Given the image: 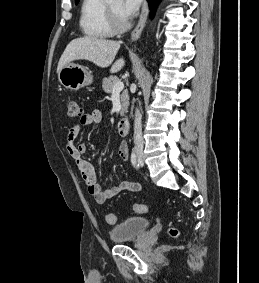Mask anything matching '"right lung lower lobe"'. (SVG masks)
<instances>
[{"instance_id":"1","label":"right lung lower lobe","mask_w":259,"mask_h":283,"mask_svg":"<svg viewBox=\"0 0 259 283\" xmlns=\"http://www.w3.org/2000/svg\"><path fill=\"white\" fill-rule=\"evenodd\" d=\"M150 8H152L157 2L158 0H148ZM154 12V8L152 9V14Z\"/></svg>"}]
</instances>
